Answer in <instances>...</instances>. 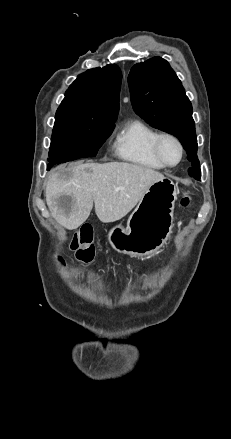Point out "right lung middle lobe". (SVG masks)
Listing matches in <instances>:
<instances>
[{
    "instance_id": "right-lung-middle-lobe-1",
    "label": "right lung middle lobe",
    "mask_w": 231,
    "mask_h": 439,
    "mask_svg": "<svg viewBox=\"0 0 231 439\" xmlns=\"http://www.w3.org/2000/svg\"><path fill=\"white\" fill-rule=\"evenodd\" d=\"M114 126L112 122L88 117L55 118L48 170L55 164L96 156Z\"/></svg>"
}]
</instances>
